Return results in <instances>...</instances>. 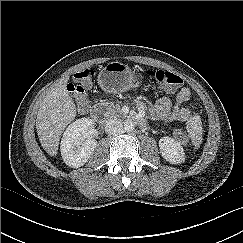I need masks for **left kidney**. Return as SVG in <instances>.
Listing matches in <instances>:
<instances>
[{"label": "left kidney", "instance_id": "left-kidney-1", "mask_svg": "<svg viewBox=\"0 0 243 243\" xmlns=\"http://www.w3.org/2000/svg\"><path fill=\"white\" fill-rule=\"evenodd\" d=\"M159 147L162 157L172 163L181 164L185 161L183 147L171 137H162L159 140Z\"/></svg>", "mask_w": 243, "mask_h": 243}]
</instances>
